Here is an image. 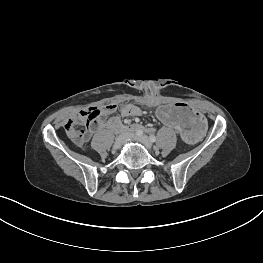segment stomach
Listing matches in <instances>:
<instances>
[{
    "label": "stomach",
    "mask_w": 263,
    "mask_h": 263,
    "mask_svg": "<svg viewBox=\"0 0 263 263\" xmlns=\"http://www.w3.org/2000/svg\"><path fill=\"white\" fill-rule=\"evenodd\" d=\"M154 118L158 124L180 131L182 140L188 144L199 142L205 133L203 116L182 103L158 105L154 111Z\"/></svg>",
    "instance_id": "1"
}]
</instances>
